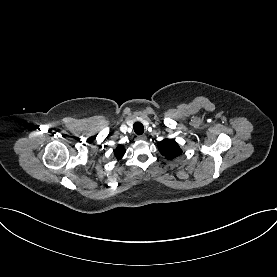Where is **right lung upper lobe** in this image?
I'll use <instances>...</instances> for the list:
<instances>
[{
  "label": "right lung upper lobe",
  "instance_id": "right-lung-upper-lobe-1",
  "mask_svg": "<svg viewBox=\"0 0 277 277\" xmlns=\"http://www.w3.org/2000/svg\"><path fill=\"white\" fill-rule=\"evenodd\" d=\"M124 154H125V149L123 145H119L114 151V155L118 160H120L124 156Z\"/></svg>",
  "mask_w": 277,
  "mask_h": 277
}]
</instances>
